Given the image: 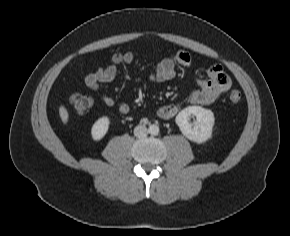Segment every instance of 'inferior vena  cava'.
Segmentation results:
<instances>
[{"mask_svg":"<svg viewBox=\"0 0 290 236\" xmlns=\"http://www.w3.org/2000/svg\"><path fill=\"white\" fill-rule=\"evenodd\" d=\"M147 133H148V130L143 125H138L134 128V135L136 137H139V138L145 137L147 135Z\"/></svg>","mask_w":290,"mask_h":236,"instance_id":"1","label":"inferior vena cava"}]
</instances>
